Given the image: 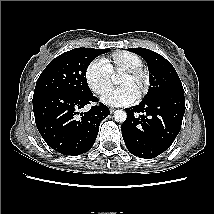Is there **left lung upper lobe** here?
<instances>
[{"mask_svg":"<svg viewBox=\"0 0 214 214\" xmlns=\"http://www.w3.org/2000/svg\"><path fill=\"white\" fill-rule=\"evenodd\" d=\"M127 50L140 55L147 62L150 87L144 101L166 94H184L179 76L167 59L146 48H129Z\"/></svg>","mask_w":214,"mask_h":214,"instance_id":"5c2ea615","label":"left lung upper lobe"}]
</instances>
